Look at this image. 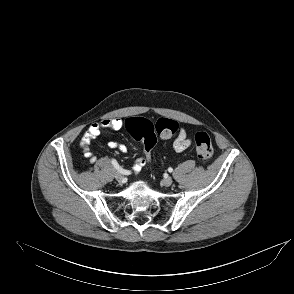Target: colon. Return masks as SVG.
<instances>
[{
	"mask_svg": "<svg viewBox=\"0 0 294 294\" xmlns=\"http://www.w3.org/2000/svg\"><path fill=\"white\" fill-rule=\"evenodd\" d=\"M127 129L130 134L143 145L146 159H150L157 143V135L168 138L179 132V125L171 119H160L155 124L142 118H129ZM196 153L202 161L210 160L214 149L209 135L205 132H197L194 135Z\"/></svg>",
	"mask_w": 294,
	"mask_h": 294,
	"instance_id": "colon-1",
	"label": "colon"
}]
</instances>
